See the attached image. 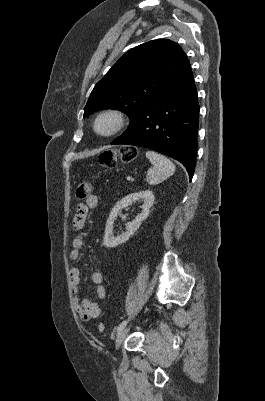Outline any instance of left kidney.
Listing matches in <instances>:
<instances>
[{
  "mask_svg": "<svg viewBox=\"0 0 265 401\" xmlns=\"http://www.w3.org/2000/svg\"><path fill=\"white\" fill-rule=\"evenodd\" d=\"M138 198H142L143 201V211L135 217L134 221H131V223H127L126 225V233H122L120 237H114L113 235V225L114 221H116V217L121 211V209H125V207H129V205H132L134 201H138ZM154 203V194L152 190H140V192H132V194H127V196H124V198H121V201L119 203H116L114 209H112L109 219L106 223L105 227V235L103 237V245L105 247H108V249H112V247H117V245H121V243H126L128 239H130L131 235L135 233V231H138L142 221H145L149 215V211Z\"/></svg>",
  "mask_w": 265,
  "mask_h": 401,
  "instance_id": "1",
  "label": "left kidney"
}]
</instances>
